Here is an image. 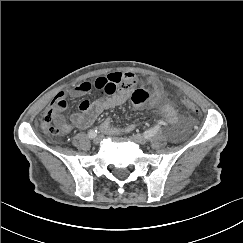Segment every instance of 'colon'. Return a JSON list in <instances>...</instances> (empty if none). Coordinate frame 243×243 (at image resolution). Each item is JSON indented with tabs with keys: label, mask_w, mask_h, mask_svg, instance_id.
<instances>
[{
	"label": "colon",
	"mask_w": 243,
	"mask_h": 243,
	"mask_svg": "<svg viewBox=\"0 0 243 243\" xmlns=\"http://www.w3.org/2000/svg\"><path fill=\"white\" fill-rule=\"evenodd\" d=\"M128 84L123 82L122 85ZM182 106L191 114H198L199 110L197 106L189 99H181ZM56 114L53 110H47L44 116L41 119L42 128L50 135L56 136L63 133V130L60 126L55 123Z\"/></svg>",
	"instance_id": "1"
}]
</instances>
